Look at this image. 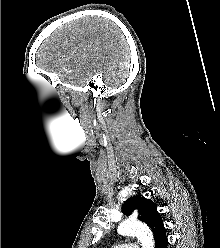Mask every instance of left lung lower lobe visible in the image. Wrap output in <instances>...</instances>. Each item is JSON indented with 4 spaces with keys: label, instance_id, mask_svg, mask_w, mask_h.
<instances>
[{
    "label": "left lung lower lobe",
    "instance_id": "left-lung-lower-lobe-1",
    "mask_svg": "<svg viewBox=\"0 0 220 248\" xmlns=\"http://www.w3.org/2000/svg\"><path fill=\"white\" fill-rule=\"evenodd\" d=\"M168 239L163 228L155 239V248H167Z\"/></svg>",
    "mask_w": 220,
    "mask_h": 248
}]
</instances>
